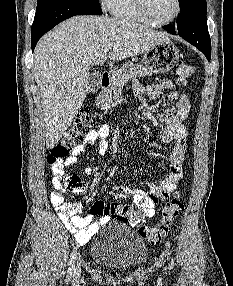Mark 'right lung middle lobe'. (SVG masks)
<instances>
[{
	"label": "right lung middle lobe",
	"instance_id": "dd1d6c3e",
	"mask_svg": "<svg viewBox=\"0 0 233 286\" xmlns=\"http://www.w3.org/2000/svg\"><path fill=\"white\" fill-rule=\"evenodd\" d=\"M60 1V0H37V9L36 14L41 13L45 10L50 4ZM69 2H73L79 6L90 9L98 15H102V9L98 2V0H65Z\"/></svg>",
	"mask_w": 233,
	"mask_h": 286
}]
</instances>
